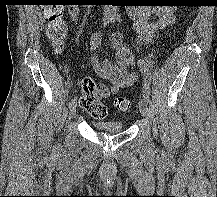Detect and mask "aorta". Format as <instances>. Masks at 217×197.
<instances>
[{
  "label": "aorta",
  "instance_id": "1",
  "mask_svg": "<svg viewBox=\"0 0 217 197\" xmlns=\"http://www.w3.org/2000/svg\"><path fill=\"white\" fill-rule=\"evenodd\" d=\"M117 7L112 5H105L104 7V18L112 20L116 17Z\"/></svg>",
  "mask_w": 217,
  "mask_h": 197
}]
</instances>
